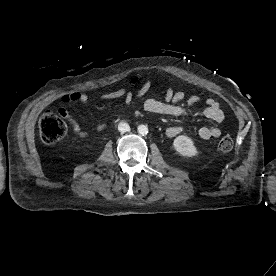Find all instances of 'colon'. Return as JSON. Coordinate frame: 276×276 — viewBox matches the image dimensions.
I'll return each mask as SVG.
<instances>
[{
  "label": "colon",
  "instance_id": "1",
  "mask_svg": "<svg viewBox=\"0 0 276 276\" xmlns=\"http://www.w3.org/2000/svg\"><path fill=\"white\" fill-rule=\"evenodd\" d=\"M39 130L41 139L46 144H54L61 140L67 133L66 122L55 112H45L39 121ZM233 139L231 136H223L217 144L220 152H229L233 148Z\"/></svg>",
  "mask_w": 276,
  "mask_h": 276
}]
</instances>
